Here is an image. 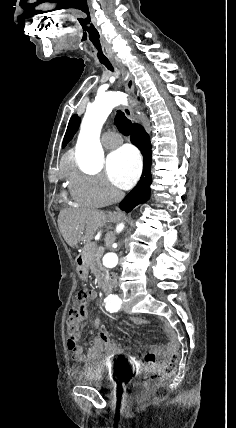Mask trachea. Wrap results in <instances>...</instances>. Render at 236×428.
Here are the masks:
<instances>
[{
  "mask_svg": "<svg viewBox=\"0 0 236 428\" xmlns=\"http://www.w3.org/2000/svg\"><path fill=\"white\" fill-rule=\"evenodd\" d=\"M84 24L83 29L85 30L86 35L90 41V49L95 53V58L98 60L99 64H103L110 71H114L111 63L109 62L108 52L104 51L101 47L102 41L98 33V29L95 27L94 16L92 13H85L83 16ZM115 124L119 131L124 135H130L131 133V122L125 116V114L118 110L115 116Z\"/></svg>",
  "mask_w": 236,
  "mask_h": 428,
  "instance_id": "obj_1",
  "label": "trachea"
}]
</instances>
